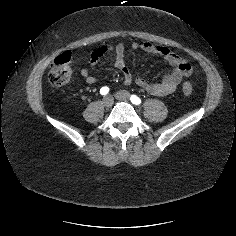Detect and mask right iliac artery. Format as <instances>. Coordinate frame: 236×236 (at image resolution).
Listing matches in <instances>:
<instances>
[{
  "instance_id": "82829eb1",
  "label": "right iliac artery",
  "mask_w": 236,
  "mask_h": 236,
  "mask_svg": "<svg viewBox=\"0 0 236 236\" xmlns=\"http://www.w3.org/2000/svg\"><path fill=\"white\" fill-rule=\"evenodd\" d=\"M109 92V88L107 86H104L100 89V94L101 95H106Z\"/></svg>"
}]
</instances>
